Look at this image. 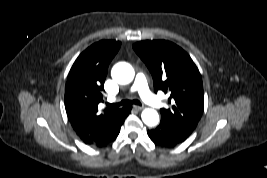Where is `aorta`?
<instances>
[{
	"mask_svg": "<svg viewBox=\"0 0 267 178\" xmlns=\"http://www.w3.org/2000/svg\"><path fill=\"white\" fill-rule=\"evenodd\" d=\"M111 76L119 84H128L132 82L135 76L133 67L126 62H119L115 64L111 71ZM142 121L147 126H156L159 123V115L156 110L146 108L141 113Z\"/></svg>",
	"mask_w": 267,
	"mask_h": 178,
	"instance_id": "obj_1",
	"label": "aorta"
}]
</instances>
